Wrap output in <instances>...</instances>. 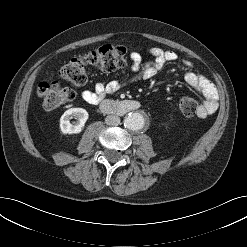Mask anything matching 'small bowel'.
<instances>
[{
  "label": "small bowel",
  "instance_id": "c3829d8e",
  "mask_svg": "<svg viewBox=\"0 0 247 247\" xmlns=\"http://www.w3.org/2000/svg\"><path fill=\"white\" fill-rule=\"evenodd\" d=\"M149 54L154 59L143 64L140 55L133 53L131 73L126 79L98 82L93 90H84L81 93V98L88 103H98L106 95L114 94L124 86L155 77L165 64L175 62L178 59L176 52L161 48H152L149 50ZM183 65L188 69L184 75L185 82L202 97V104L197 116L205 118L213 114L217 109L218 92L216 87L208 78L192 71V63L190 61H183Z\"/></svg>",
  "mask_w": 247,
  "mask_h": 247
}]
</instances>
